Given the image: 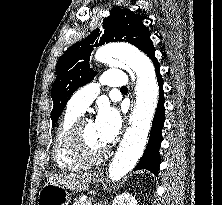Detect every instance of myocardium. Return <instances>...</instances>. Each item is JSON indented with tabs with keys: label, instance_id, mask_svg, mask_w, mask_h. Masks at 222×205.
<instances>
[{
	"label": "myocardium",
	"instance_id": "myocardium-1",
	"mask_svg": "<svg viewBox=\"0 0 222 205\" xmlns=\"http://www.w3.org/2000/svg\"><path fill=\"white\" fill-rule=\"evenodd\" d=\"M87 121L90 120L82 118L75 121L67 135V148L72 158L81 164H97L108 157L110 149L107 147L97 155H89L85 151L82 139V126Z\"/></svg>",
	"mask_w": 222,
	"mask_h": 205
}]
</instances>
